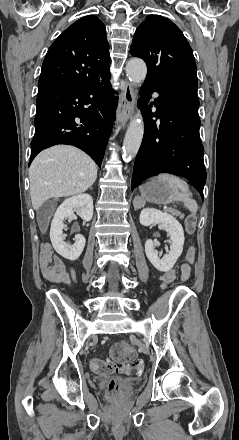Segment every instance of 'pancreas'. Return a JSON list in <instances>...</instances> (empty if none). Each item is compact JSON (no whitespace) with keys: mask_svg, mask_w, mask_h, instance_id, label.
<instances>
[{"mask_svg":"<svg viewBox=\"0 0 239 440\" xmlns=\"http://www.w3.org/2000/svg\"><path fill=\"white\" fill-rule=\"evenodd\" d=\"M171 214L173 216H179V218H184V214H181V212H178V210H170Z\"/></svg>","mask_w":239,"mask_h":440,"instance_id":"cf45deb5","label":"pancreas"}]
</instances>
